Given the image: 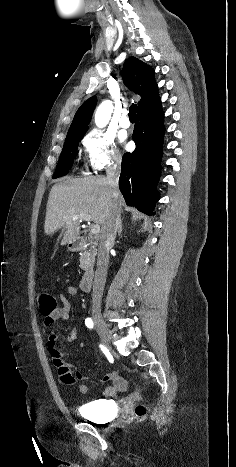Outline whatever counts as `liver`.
<instances>
[{"instance_id": "liver-1", "label": "liver", "mask_w": 236, "mask_h": 467, "mask_svg": "<svg viewBox=\"0 0 236 467\" xmlns=\"http://www.w3.org/2000/svg\"><path fill=\"white\" fill-rule=\"evenodd\" d=\"M124 205L123 197L114 198L107 178H71L55 184L49 194L44 230L52 235L62 227L66 228L61 245L76 240L79 235L81 218L90 216L96 225L102 227L113 210Z\"/></svg>"}]
</instances>
